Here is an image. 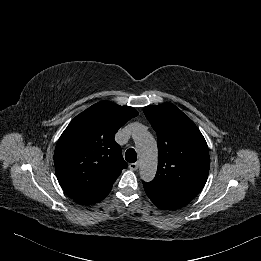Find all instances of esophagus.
I'll use <instances>...</instances> for the list:
<instances>
[{"label": "esophagus", "mask_w": 261, "mask_h": 261, "mask_svg": "<svg viewBox=\"0 0 261 261\" xmlns=\"http://www.w3.org/2000/svg\"><path fill=\"white\" fill-rule=\"evenodd\" d=\"M138 166H139L138 162L130 163V164H129V168H130V170H132V171L137 170V169H138Z\"/></svg>", "instance_id": "esophagus-1"}]
</instances>
